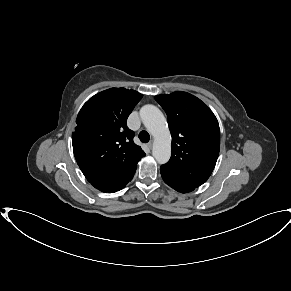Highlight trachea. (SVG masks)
<instances>
[{"mask_svg": "<svg viewBox=\"0 0 291 291\" xmlns=\"http://www.w3.org/2000/svg\"><path fill=\"white\" fill-rule=\"evenodd\" d=\"M139 139L143 143H147L150 140V135L147 131L143 130L139 133Z\"/></svg>", "mask_w": 291, "mask_h": 291, "instance_id": "1", "label": "trachea"}]
</instances>
